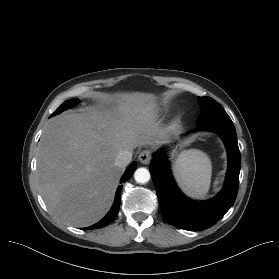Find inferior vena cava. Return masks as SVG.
Here are the masks:
<instances>
[{
	"label": "inferior vena cava",
	"instance_id": "inferior-vena-cava-1",
	"mask_svg": "<svg viewBox=\"0 0 279 279\" xmlns=\"http://www.w3.org/2000/svg\"><path fill=\"white\" fill-rule=\"evenodd\" d=\"M132 160V153L130 151H121L116 159L115 165L119 168L126 167Z\"/></svg>",
	"mask_w": 279,
	"mask_h": 279
}]
</instances>
